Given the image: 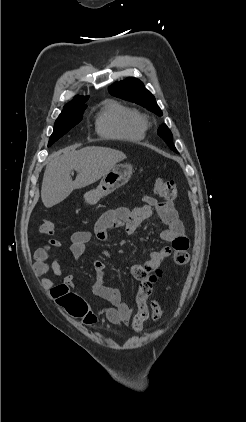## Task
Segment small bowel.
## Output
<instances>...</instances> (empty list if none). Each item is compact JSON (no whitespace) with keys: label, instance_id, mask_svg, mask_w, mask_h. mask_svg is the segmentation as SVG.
Here are the masks:
<instances>
[{"label":"small bowel","instance_id":"1","mask_svg":"<svg viewBox=\"0 0 246 422\" xmlns=\"http://www.w3.org/2000/svg\"><path fill=\"white\" fill-rule=\"evenodd\" d=\"M144 204L133 208L118 207L103 213L94 225L93 234L100 241H107L113 229L124 228L126 233L133 235L140 224L151 218L156 212L166 228L160 232L163 241L170 243L152 251L149 258L143 264L132 266L131 272L134 278L141 280L151 272L156 271L163 260L171 256L177 250L186 251L189 248V240L185 235L182 221L171 201L159 202L152 196L143 198ZM92 238L89 231H77L71 236V253L80 257L87 251V245ZM61 246L60 241L51 239L48 243L34 253V269L38 276H41L43 286L49 290L51 297L58 305L63 307L70 315L79 318L85 325H94L100 314L113 324L127 325L130 322L133 309L121 298L118 289L109 286L104 277L105 264L101 260L94 261L96 281L93 292L96 296L107 300L108 307L99 310L92 309L87 302L81 298L75 289V278L72 274H66L61 283H56L52 275L61 276L62 269L57 258L49 262L51 248ZM107 258H111L109 252L104 251Z\"/></svg>","mask_w":246,"mask_h":422}]
</instances>
